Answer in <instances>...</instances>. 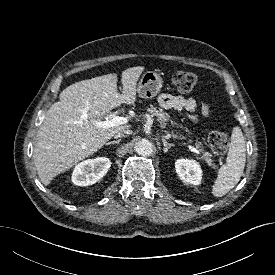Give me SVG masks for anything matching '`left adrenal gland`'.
Masks as SVG:
<instances>
[{
  "label": "left adrenal gland",
  "mask_w": 275,
  "mask_h": 275,
  "mask_svg": "<svg viewBox=\"0 0 275 275\" xmlns=\"http://www.w3.org/2000/svg\"><path fill=\"white\" fill-rule=\"evenodd\" d=\"M162 142L164 145V152L167 153L169 149L173 146L172 144H169L164 137H162Z\"/></svg>",
  "instance_id": "left-adrenal-gland-1"
}]
</instances>
